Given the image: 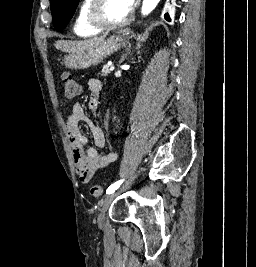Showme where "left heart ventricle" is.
<instances>
[{
  "label": "left heart ventricle",
  "instance_id": "1",
  "mask_svg": "<svg viewBox=\"0 0 256 267\" xmlns=\"http://www.w3.org/2000/svg\"><path fill=\"white\" fill-rule=\"evenodd\" d=\"M101 17L109 25L120 26L131 19V14L125 13L117 1L111 0L104 3Z\"/></svg>",
  "mask_w": 256,
  "mask_h": 267
}]
</instances>
